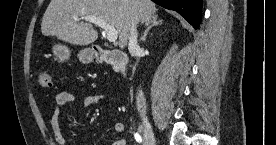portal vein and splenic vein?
Wrapping results in <instances>:
<instances>
[{"label":"portal vein and splenic vein","mask_w":276,"mask_h":145,"mask_svg":"<svg viewBox=\"0 0 276 145\" xmlns=\"http://www.w3.org/2000/svg\"><path fill=\"white\" fill-rule=\"evenodd\" d=\"M74 19L78 20V21L85 20V21L96 24L97 26H99L100 28H102L105 31L107 40L110 42L114 43V42H116V40L118 38L117 30L101 18H98L95 16H85L83 18H79L77 16H74Z\"/></svg>","instance_id":"18ae733b"}]
</instances>
